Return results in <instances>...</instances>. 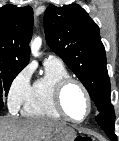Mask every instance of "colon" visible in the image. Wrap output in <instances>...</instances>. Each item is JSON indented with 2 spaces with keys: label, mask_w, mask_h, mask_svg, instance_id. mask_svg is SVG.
<instances>
[{
  "label": "colon",
  "mask_w": 119,
  "mask_h": 141,
  "mask_svg": "<svg viewBox=\"0 0 119 141\" xmlns=\"http://www.w3.org/2000/svg\"><path fill=\"white\" fill-rule=\"evenodd\" d=\"M75 141H91L89 137L78 136Z\"/></svg>",
  "instance_id": "colon-1"
}]
</instances>
